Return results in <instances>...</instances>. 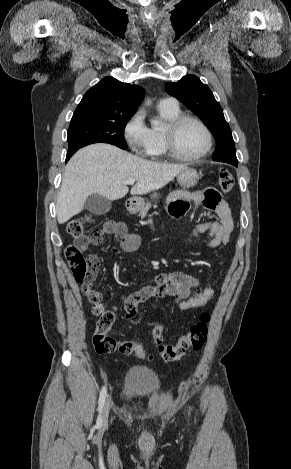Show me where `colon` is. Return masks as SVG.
<instances>
[{
    "label": "colon",
    "mask_w": 291,
    "mask_h": 469,
    "mask_svg": "<svg viewBox=\"0 0 291 469\" xmlns=\"http://www.w3.org/2000/svg\"><path fill=\"white\" fill-rule=\"evenodd\" d=\"M218 183L224 193L230 192L234 183L232 173L226 168H221L218 171ZM88 223L89 217L87 216L74 218L68 223L67 232L75 238V242L66 247L65 256L75 280L83 286L84 295L95 305L93 312L99 315L93 337L95 350L100 354L119 351L126 355L147 358L148 355L142 345L135 342L118 343L116 339L108 335L115 321V314L101 304V297L91 288L96 277L97 267L84 254L85 246L100 241L102 232L94 230L87 234ZM209 322V314L203 313L199 321L182 334L175 344L164 343L163 326L161 324L155 325L152 331V341L158 347L160 357L165 361L172 362L181 359L190 349L201 350L208 336Z\"/></svg>",
    "instance_id": "colon-1"
}]
</instances>
